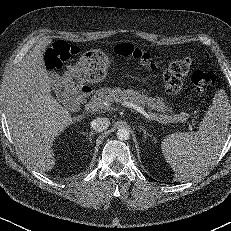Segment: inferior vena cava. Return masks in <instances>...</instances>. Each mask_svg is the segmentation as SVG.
<instances>
[{
  "label": "inferior vena cava",
  "mask_w": 231,
  "mask_h": 231,
  "mask_svg": "<svg viewBox=\"0 0 231 231\" xmlns=\"http://www.w3.org/2000/svg\"><path fill=\"white\" fill-rule=\"evenodd\" d=\"M109 125H110V121L108 118L105 117L103 118L98 117L91 122V127L96 132H103L109 127Z\"/></svg>",
  "instance_id": "obj_1"
}]
</instances>
